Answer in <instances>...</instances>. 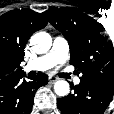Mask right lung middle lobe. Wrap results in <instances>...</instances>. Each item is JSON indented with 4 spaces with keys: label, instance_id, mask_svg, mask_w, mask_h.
I'll list each match as a JSON object with an SVG mask.
<instances>
[{
    "label": "right lung middle lobe",
    "instance_id": "right-lung-middle-lobe-1",
    "mask_svg": "<svg viewBox=\"0 0 114 114\" xmlns=\"http://www.w3.org/2000/svg\"><path fill=\"white\" fill-rule=\"evenodd\" d=\"M7 77H8V76H6V75H0V81L6 79Z\"/></svg>",
    "mask_w": 114,
    "mask_h": 114
}]
</instances>
